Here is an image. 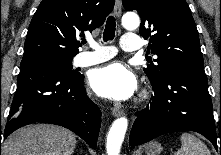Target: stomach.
I'll return each mask as SVG.
<instances>
[{
	"instance_id": "obj_1",
	"label": "stomach",
	"mask_w": 221,
	"mask_h": 155,
	"mask_svg": "<svg viewBox=\"0 0 221 155\" xmlns=\"http://www.w3.org/2000/svg\"><path fill=\"white\" fill-rule=\"evenodd\" d=\"M145 151L148 155H159L162 147L158 142H151L145 147Z\"/></svg>"
}]
</instances>
